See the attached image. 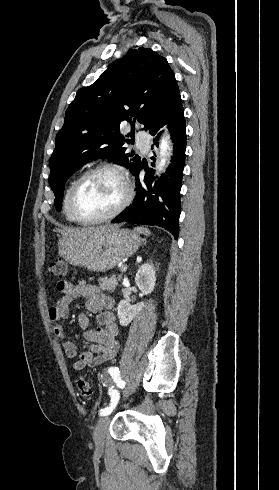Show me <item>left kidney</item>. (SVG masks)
<instances>
[{"label":"left kidney","instance_id":"obj_1","mask_svg":"<svg viewBox=\"0 0 279 490\" xmlns=\"http://www.w3.org/2000/svg\"><path fill=\"white\" fill-rule=\"evenodd\" d=\"M155 268L153 264H142L135 276V284L138 286L140 292L144 296H148L154 290L156 276ZM144 302H139L135 306H131L129 300H120L117 308V316L119 318L120 326H129L135 316L139 314L140 310L144 308Z\"/></svg>","mask_w":279,"mask_h":490}]
</instances>
